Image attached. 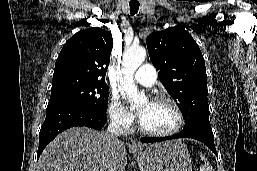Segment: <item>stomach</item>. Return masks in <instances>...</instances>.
Masks as SVG:
<instances>
[{
    "label": "stomach",
    "instance_id": "0dacf381",
    "mask_svg": "<svg viewBox=\"0 0 257 171\" xmlns=\"http://www.w3.org/2000/svg\"><path fill=\"white\" fill-rule=\"evenodd\" d=\"M133 153L140 171H192L190 154L180 140L155 143Z\"/></svg>",
    "mask_w": 257,
    "mask_h": 171
}]
</instances>
